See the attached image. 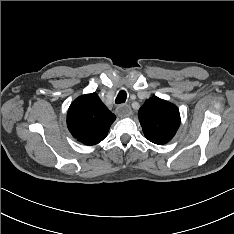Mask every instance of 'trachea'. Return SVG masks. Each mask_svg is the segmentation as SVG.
I'll return each instance as SVG.
<instances>
[{"mask_svg":"<svg viewBox=\"0 0 234 234\" xmlns=\"http://www.w3.org/2000/svg\"><path fill=\"white\" fill-rule=\"evenodd\" d=\"M126 99H127V93L124 90H121L115 99V103L116 104L124 103Z\"/></svg>","mask_w":234,"mask_h":234,"instance_id":"obj_1","label":"trachea"}]
</instances>
